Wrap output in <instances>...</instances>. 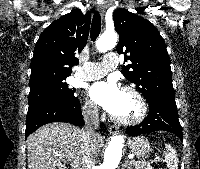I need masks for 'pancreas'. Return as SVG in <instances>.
Masks as SVG:
<instances>
[{
    "label": "pancreas",
    "mask_w": 200,
    "mask_h": 169,
    "mask_svg": "<svg viewBox=\"0 0 200 169\" xmlns=\"http://www.w3.org/2000/svg\"><path fill=\"white\" fill-rule=\"evenodd\" d=\"M131 164L135 166V169H154L149 162L133 160Z\"/></svg>",
    "instance_id": "cf45deb5"
}]
</instances>
